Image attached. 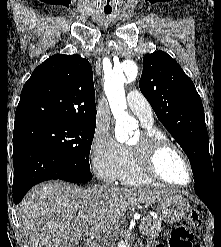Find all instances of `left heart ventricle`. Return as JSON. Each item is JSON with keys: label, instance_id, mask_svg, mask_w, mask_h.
Returning a JSON list of instances; mask_svg holds the SVG:
<instances>
[{"label": "left heart ventricle", "instance_id": "left-heart-ventricle-1", "mask_svg": "<svg viewBox=\"0 0 221 247\" xmlns=\"http://www.w3.org/2000/svg\"><path fill=\"white\" fill-rule=\"evenodd\" d=\"M140 135L133 138L130 144H135ZM158 167L162 176L176 184H186L189 180V173L181 156L172 150L161 153L158 159Z\"/></svg>", "mask_w": 221, "mask_h": 247}]
</instances>
